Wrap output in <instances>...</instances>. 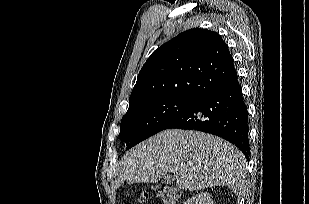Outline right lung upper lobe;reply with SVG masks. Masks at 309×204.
<instances>
[{"label":"right lung upper lobe","instance_id":"obj_1","mask_svg":"<svg viewBox=\"0 0 309 204\" xmlns=\"http://www.w3.org/2000/svg\"><path fill=\"white\" fill-rule=\"evenodd\" d=\"M237 78L222 37L193 28L160 46L140 70L129 105L142 100L184 96L201 98Z\"/></svg>","mask_w":309,"mask_h":204}]
</instances>
